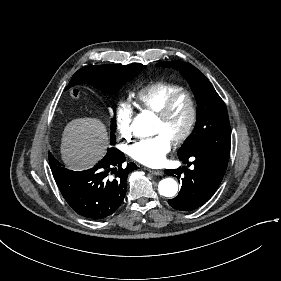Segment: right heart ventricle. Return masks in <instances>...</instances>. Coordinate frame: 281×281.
Wrapping results in <instances>:
<instances>
[{"instance_id":"1","label":"right heart ventricle","mask_w":281,"mask_h":281,"mask_svg":"<svg viewBox=\"0 0 281 281\" xmlns=\"http://www.w3.org/2000/svg\"><path fill=\"white\" fill-rule=\"evenodd\" d=\"M184 91L185 89L178 84L158 82L135 92L132 95L133 104L141 113H153L158 110L169 97Z\"/></svg>"}]
</instances>
